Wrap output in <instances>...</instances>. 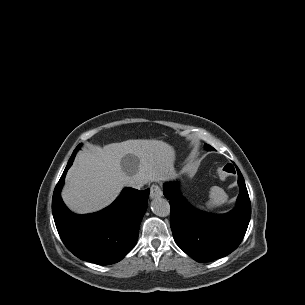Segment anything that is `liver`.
<instances>
[{
	"instance_id": "1",
	"label": "liver",
	"mask_w": 305,
	"mask_h": 305,
	"mask_svg": "<svg viewBox=\"0 0 305 305\" xmlns=\"http://www.w3.org/2000/svg\"><path fill=\"white\" fill-rule=\"evenodd\" d=\"M174 157L173 146L155 139L89 145L68 171L62 198L79 214L101 210L133 182L145 185L171 179Z\"/></svg>"
}]
</instances>
